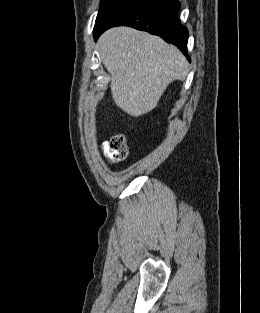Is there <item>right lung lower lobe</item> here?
I'll return each instance as SVG.
<instances>
[{"label":"right lung lower lobe","instance_id":"98d812e1","mask_svg":"<svg viewBox=\"0 0 260 313\" xmlns=\"http://www.w3.org/2000/svg\"><path fill=\"white\" fill-rule=\"evenodd\" d=\"M180 6L177 0H119L95 24L94 39L113 26H131L161 36L189 59L188 30L177 17Z\"/></svg>","mask_w":260,"mask_h":313}]
</instances>
